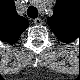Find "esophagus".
Wrapping results in <instances>:
<instances>
[{"label":"esophagus","mask_w":80,"mask_h":80,"mask_svg":"<svg viewBox=\"0 0 80 80\" xmlns=\"http://www.w3.org/2000/svg\"><path fill=\"white\" fill-rule=\"evenodd\" d=\"M34 23L36 25H41L43 22H42V19L41 18H36V19H34Z\"/></svg>","instance_id":"obj_1"}]
</instances>
